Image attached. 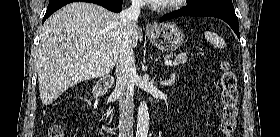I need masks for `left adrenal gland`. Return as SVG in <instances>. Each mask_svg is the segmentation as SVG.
I'll use <instances>...</instances> for the list:
<instances>
[{
	"label": "left adrenal gland",
	"mask_w": 280,
	"mask_h": 137,
	"mask_svg": "<svg viewBox=\"0 0 280 137\" xmlns=\"http://www.w3.org/2000/svg\"><path fill=\"white\" fill-rule=\"evenodd\" d=\"M170 77H171V79H167V80L165 79V81H161V82H160L161 85H163V86L171 85L172 82H173L174 74H171Z\"/></svg>",
	"instance_id": "left-adrenal-gland-1"
}]
</instances>
